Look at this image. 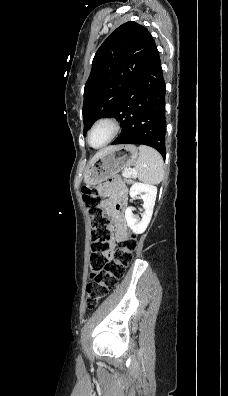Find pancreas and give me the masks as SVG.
<instances>
[{
  "label": "pancreas",
  "mask_w": 228,
  "mask_h": 396,
  "mask_svg": "<svg viewBox=\"0 0 228 396\" xmlns=\"http://www.w3.org/2000/svg\"><path fill=\"white\" fill-rule=\"evenodd\" d=\"M123 176L125 177V182L126 183L131 184L133 182V180L130 178V176L127 177V176L124 175V172H123Z\"/></svg>",
  "instance_id": "1"
}]
</instances>
